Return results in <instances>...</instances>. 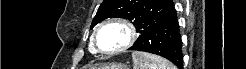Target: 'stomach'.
Returning a JSON list of instances; mask_svg holds the SVG:
<instances>
[{"mask_svg":"<svg viewBox=\"0 0 246 69\" xmlns=\"http://www.w3.org/2000/svg\"><path fill=\"white\" fill-rule=\"evenodd\" d=\"M91 69H128L126 66L117 65V64H110V65H99L92 67Z\"/></svg>","mask_w":246,"mask_h":69,"instance_id":"1","label":"stomach"}]
</instances>
